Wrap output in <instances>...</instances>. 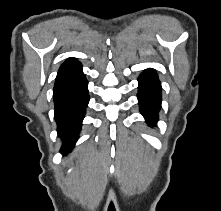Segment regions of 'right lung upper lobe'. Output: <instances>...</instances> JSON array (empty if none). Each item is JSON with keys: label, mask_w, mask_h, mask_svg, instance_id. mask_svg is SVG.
Listing matches in <instances>:
<instances>
[{"label": "right lung upper lobe", "mask_w": 221, "mask_h": 211, "mask_svg": "<svg viewBox=\"0 0 221 211\" xmlns=\"http://www.w3.org/2000/svg\"><path fill=\"white\" fill-rule=\"evenodd\" d=\"M81 65L80 62L77 61L76 58H68L59 68V72H63L72 68H75L77 66Z\"/></svg>", "instance_id": "cb5924a9"}]
</instances>
